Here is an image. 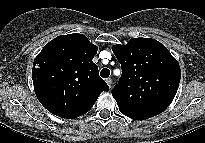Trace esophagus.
<instances>
[{
    "mask_svg": "<svg viewBox=\"0 0 205 143\" xmlns=\"http://www.w3.org/2000/svg\"><path fill=\"white\" fill-rule=\"evenodd\" d=\"M106 83H107V85H108L109 87H111V85H112V79H111V78H107V79H106Z\"/></svg>",
    "mask_w": 205,
    "mask_h": 143,
    "instance_id": "obj_1",
    "label": "esophagus"
}]
</instances>
